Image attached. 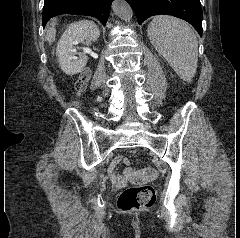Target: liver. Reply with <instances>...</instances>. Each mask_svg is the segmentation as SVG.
<instances>
[{"label": "liver", "instance_id": "obj_1", "mask_svg": "<svg viewBox=\"0 0 240 238\" xmlns=\"http://www.w3.org/2000/svg\"><path fill=\"white\" fill-rule=\"evenodd\" d=\"M55 22L51 24V27L47 30L46 40L49 44L53 43L56 40V30H55Z\"/></svg>", "mask_w": 240, "mask_h": 238}]
</instances>
